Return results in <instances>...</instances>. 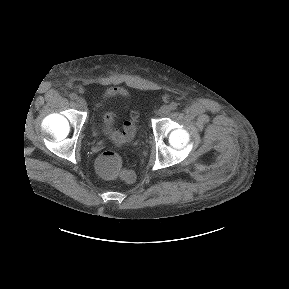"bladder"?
I'll list each match as a JSON object with an SVG mask.
<instances>
[{
	"instance_id": "obj_1",
	"label": "bladder",
	"mask_w": 289,
	"mask_h": 289,
	"mask_svg": "<svg viewBox=\"0 0 289 289\" xmlns=\"http://www.w3.org/2000/svg\"><path fill=\"white\" fill-rule=\"evenodd\" d=\"M111 97H113V92H106L98 104L97 114L93 123V129L96 133H100L105 126H111L115 121V112L105 106L106 101Z\"/></svg>"
}]
</instances>
